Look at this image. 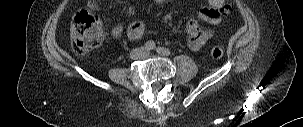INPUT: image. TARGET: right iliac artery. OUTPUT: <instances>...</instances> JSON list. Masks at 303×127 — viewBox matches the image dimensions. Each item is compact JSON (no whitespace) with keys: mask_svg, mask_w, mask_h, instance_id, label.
I'll return each mask as SVG.
<instances>
[{"mask_svg":"<svg viewBox=\"0 0 303 127\" xmlns=\"http://www.w3.org/2000/svg\"><path fill=\"white\" fill-rule=\"evenodd\" d=\"M147 50H154L156 48V44L154 41H148L146 43Z\"/></svg>","mask_w":303,"mask_h":127,"instance_id":"right-iliac-artery-1","label":"right iliac artery"}]
</instances>
